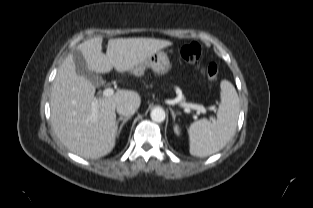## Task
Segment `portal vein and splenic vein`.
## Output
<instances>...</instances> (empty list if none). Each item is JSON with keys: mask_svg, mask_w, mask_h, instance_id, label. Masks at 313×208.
Instances as JSON below:
<instances>
[{"mask_svg": "<svg viewBox=\"0 0 313 208\" xmlns=\"http://www.w3.org/2000/svg\"><path fill=\"white\" fill-rule=\"evenodd\" d=\"M113 94H114V89L113 88H107L102 93V95L104 97H110ZM180 106H182V107H184L186 109L197 110L199 113H203V114H206V112H207V108H205L203 105H199V104L180 103ZM210 109H213V107H211Z\"/></svg>", "mask_w": 313, "mask_h": 208, "instance_id": "obj_1", "label": "portal vein and splenic vein"}]
</instances>
